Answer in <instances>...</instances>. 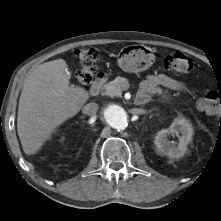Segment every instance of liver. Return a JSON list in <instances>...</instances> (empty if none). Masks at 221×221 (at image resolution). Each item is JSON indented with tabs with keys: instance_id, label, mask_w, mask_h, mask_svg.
<instances>
[{
	"instance_id": "liver-1",
	"label": "liver",
	"mask_w": 221,
	"mask_h": 221,
	"mask_svg": "<svg viewBox=\"0 0 221 221\" xmlns=\"http://www.w3.org/2000/svg\"><path fill=\"white\" fill-rule=\"evenodd\" d=\"M67 63H43L27 76L18 105L17 131L23 151L33 155L56 128L75 116L89 99L86 89L69 85Z\"/></svg>"
}]
</instances>
